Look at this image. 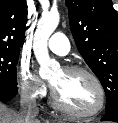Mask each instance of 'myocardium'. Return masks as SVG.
Listing matches in <instances>:
<instances>
[{
  "label": "myocardium",
  "mask_w": 118,
  "mask_h": 123,
  "mask_svg": "<svg viewBox=\"0 0 118 123\" xmlns=\"http://www.w3.org/2000/svg\"><path fill=\"white\" fill-rule=\"evenodd\" d=\"M63 71L67 73H73V74L80 73V74L87 75L92 80L93 84L95 85L97 89L98 102L96 106L89 111L81 112V111L73 110L62 102L56 89L52 86L51 94H52L54 105L65 114L74 118L83 119V118H91V117L97 116L103 110L105 106V102H106V92L98 76L90 69L85 67H80V66H67L63 68Z\"/></svg>",
  "instance_id": "1"
}]
</instances>
